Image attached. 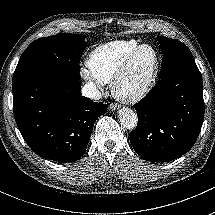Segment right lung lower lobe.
Here are the masks:
<instances>
[{
    "mask_svg": "<svg viewBox=\"0 0 215 215\" xmlns=\"http://www.w3.org/2000/svg\"><path fill=\"white\" fill-rule=\"evenodd\" d=\"M79 80L37 76L13 86L14 116L36 154L54 162H74L85 153L96 119L107 105L80 93Z\"/></svg>",
    "mask_w": 215,
    "mask_h": 215,
    "instance_id": "1",
    "label": "right lung lower lobe"
}]
</instances>
